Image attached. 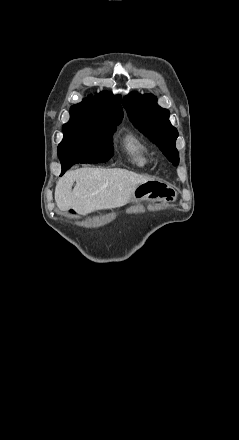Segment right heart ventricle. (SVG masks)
<instances>
[{"instance_id": "right-heart-ventricle-1", "label": "right heart ventricle", "mask_w": 239, "mask_h": 440, "mask_svg": "<svg viewBox=\"0 0 239 440\" xmlns=\"http://www.w3.org/2000/svg\"><path fill=\"white\" fill-rule=\"evenodd\" d=\"M120 147L133 166L139 169H148L151 166L150 150L138 135L134 133L125 135L120 141Z\"/></svg>"}]
</instances>
